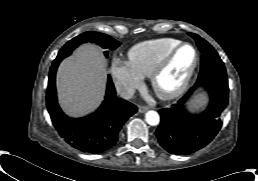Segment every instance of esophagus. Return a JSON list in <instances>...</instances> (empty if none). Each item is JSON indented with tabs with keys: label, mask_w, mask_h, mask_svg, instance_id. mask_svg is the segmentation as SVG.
<instances>
[{
	"label": "esophagus",
	"mask_w": 258,
	"mask_h": 181,
	"mask_svg": "<svg viewBox=\"0 0 258 181\" xmlns=\"http://www.w3.org/2000/svg\"><path fill=\"white\" fill-rule=\"evenodd\" d=\"M148 109H149V108H148L147 106H139V107H138V111H139L140 113H144V112H146Z\"/></svg>",
	"instance_id": "esophagus-1"
}]
</instances>
